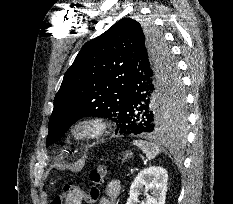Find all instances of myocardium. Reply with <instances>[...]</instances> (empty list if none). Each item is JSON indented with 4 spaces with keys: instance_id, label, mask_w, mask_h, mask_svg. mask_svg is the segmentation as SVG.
Here are the masks:
<instances>
[{
    "instance_id": "obj_1",
    "label": "myocardium",
    "mask_w": 233,
    "mask_h": 204,
    "mask_svg": "<svg viewBox=\"0 0 233 204\" xmlns=\"http://www.w3.org/2000/svg\"><path fill=\"white\" fill-rule=\"evenodd\" d=\"M107 122L102 117H88L75 121L70 127V135L77 141H92L107 130Z\"/></svg>"
}]
</instances>
